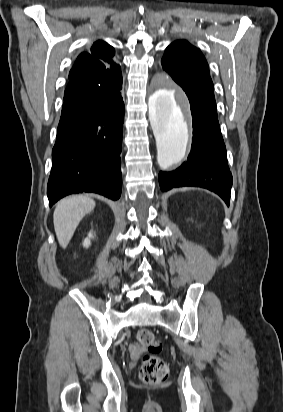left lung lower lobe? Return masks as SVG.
<instances>
[{
	"instance_id": "1",
	"label": "left lung lower lobe",
	"mask_w": 283,
	"mask_h": 412,
	"mask_svg": "<svg viewBox=\"0 0 283 412\" xmlns=\"http://www.w3.org/2000/svg\"><path fill=\"white\" fill-rule=\"evenodd\" d=\"M186 92L193 117L191 152L179 168L159 173L161 190L194 186L218 194L227 205L230 201L232 175L229 171L226 148L217 118L215 98L197 91L189 83L176 81Z\"/></svg>"
}]
</instances>
